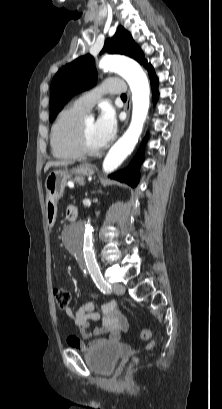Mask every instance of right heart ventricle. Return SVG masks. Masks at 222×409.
Segmentation results:
<instances>
[{
    "mask_svg": "<svg viewBox=\"0 0 222 409\" xmlns=\"http://www.w3.org/2000/svg\"><path fill=\"white\" fill-rule=\"evenodd\" d=\"M86 111L76 103L66 106L58 114L51 129V149L60 160H75L81 157L75 146V133Z\"/></svg>",
    "mask_w": 222,
    "mask_h": 409,
    "instance_id": "obj_1",
    "label": "right heart ventricle"
}]
</instances>
